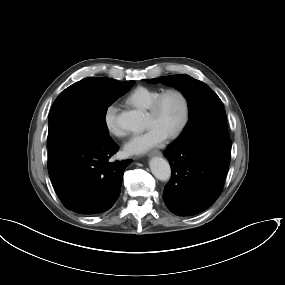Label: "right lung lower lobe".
Instances as JSON below:
<instances>
[{"instance_id":"1","label":"right lung lower lobe","mask_w":285,"mask_h":285,"mask_svg":"<svg viewBox=\"0 0 285 285\" xmlns=\"http://www.w3.org/2000/svg\"><path fill=\"white\" fill-rule=\"evenodd\" d=\"M118 149L110 137L77 138L49 153V176L68 210L93 215L113 206L120 194L124 169L131 162H110Z\"/></svg>"}]
</instances>
